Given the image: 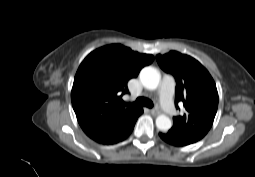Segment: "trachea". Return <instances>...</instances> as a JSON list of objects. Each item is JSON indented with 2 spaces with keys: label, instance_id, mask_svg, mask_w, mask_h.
Returning <instances> with one entry per match:
<instances>
[{
  "label": "trachea",
  "instance_id": "trachea-1",
  "mask_svg": "<svg viewBox=\"0 0 255 177\" xmlns=\"http://www.w3.org/2000/svg\"><path fill=\"white\" fill-rule=\"evenodd\" d=\"M133 104L135 106H146L148 108L153 107V102L147 98H144V97H138Z\"/></svg>",
  "mask_w": 255,
  "mask_h": 177
}]
</instances>
